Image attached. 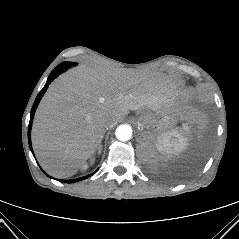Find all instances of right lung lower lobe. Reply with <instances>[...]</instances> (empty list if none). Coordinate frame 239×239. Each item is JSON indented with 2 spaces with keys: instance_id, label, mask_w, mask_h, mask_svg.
I'll return each mask as SVG.
<instances>
[{
  "instance_id": "right-lung-lower-lobe-1",
  "label": "right lung lower lobe",
  "mask_w": 239,
  "mask_h": 239,
  "mask_svg": "<svg viewBox=\"0 0 239 239\" xmlns=\"http://www.w3.org/2000/svg\"><path fill=\"white\" fill-rule=\"evenodd\" d=\"M59 74L54 71L51 72V74L49 75L48 79H47V82L45 84V86L43 87V89L40 91V93L38 94L34 104H33V107H32V110H31V116H30V122H29V126H28V141H29V146H30V149L32 151V147H31V127H32V122H33V118H34V113L36 111V108L42 98V96L44 95V93L46 92L48 86H49V83L51 81L54 80V78H56ZM33 153V151H32ZM92 174L90 175H87V176H84V177H81V178H77V179H73V180H60L61 182H66V183H74V182H78L80 180H83V179H86L88 177H90Z\"/></svg>"
}]
</instances>
